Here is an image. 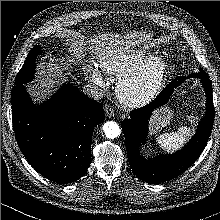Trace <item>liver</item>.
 <instances>
[{
  "label": "liver",
  "mask_w": 220,
  "mask_h": 220,
  "mask_svg": "<svg viewBox=\"0 0 220 220\" xmlns=\"http://www.w3.org/2000/svg\"><path fill=\"white\" fill-rule=\"evenodd\" d=\"M137 35L131 34L128 36H123L118 33H106V34H99L97 37L93 38L90 41L85 40L86 37L84 36H76V40L72 43L69 51H76L78 52L81 50L82 45L89 44L93 42L95 44L91 47V52L94 54L102 55L103 57L112 56L114 54H123V52H129L131 45L138 42L136 40ZM130 39V40H128ZM135 41V42H133ZM69 57V56H68ZM60 60V64H53V60L50 59L49 62L42 61L38 64V71L36 72V85L34 91L30 92L31 95L34 93L37 96L44 95L45 93L48 94L52 91V88L55 87L57 83H59V79H64L63 71H66L70 64L68 62L62 63V61H69V58H62Z\"/></svg>",
  "instance_id": "obj_1"
}]
</instances>
